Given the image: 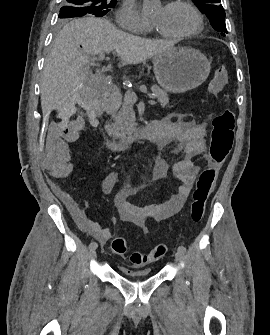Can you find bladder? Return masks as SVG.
Returning a JSON list of instances; mask_svg holds the SVG:
<instances>
[{"mask_svg":"<svg viewBox=\"0 0 270 335\" xmlns=\"http://www.w3.org/2000/svg\"><path fill=\"white\" fill-rule=\"evenodd\" d=\"M125 273H127L132 278L140 277L141 279H144V278H148V277L152 276L153 275V270H145V271L140 272V273L126 271Z\"/></svg>","mask_w":270,"mask_h":335,"instance_id":"31cf9c89","label":"bladder"}]
</instances>
